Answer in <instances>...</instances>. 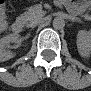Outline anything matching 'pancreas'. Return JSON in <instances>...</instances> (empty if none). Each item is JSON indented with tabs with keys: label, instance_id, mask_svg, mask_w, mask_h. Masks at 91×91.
<instances>
[{
	"label": "pancreas",
	"instance_id": "cf45deb5",
	"mask_svg": "<svg viewBox=\"0 0 91 91\" xmlns=\"http://www.w3.org/2000/svg\"><path fill=\"white\" fill-rule=\"evenodd\" d=\"M42 15H44V12L39 7H31L28 9L27 12L21 15V18L24 19L26 24L28 25ZM84 17L86 20L90 19L89 15H85Z\"/></svg>",
	"mask_w": 91,
	"mask_h": 91
}]
</instances>
